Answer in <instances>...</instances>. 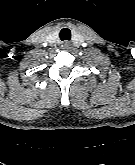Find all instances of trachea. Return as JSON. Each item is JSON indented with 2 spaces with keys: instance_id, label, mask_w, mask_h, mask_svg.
I'll list each match as a JSON object with an SVG mask.
<instances>
[{
  "instance_id": "3493384b",
  "label": "trachea",
  "mask_w": 135,
  "mask_h": 165,
  "mask_svg": "<svg viewBox=\"0 0 135 165\" xmlns=\"http://www.w3.org/2000/svg\"><path fill=\"white\" fill-rule=\"evenodd\" d=\"M59 37L62 41L64 40H70L71 39V31L69 28H63L61 29L60 33H59Z\"/></svg>"
}]
</instances>
